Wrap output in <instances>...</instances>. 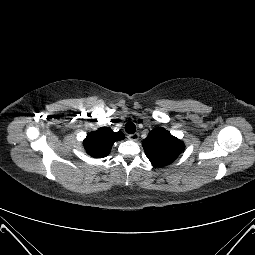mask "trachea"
Here are the masks:
<instances>
[{"instance_id": "1", "label": "trachea", "mask_w": 255, "mask_h": 255, "mask_svg": "<svg viewBox=\"0 0 255 255\" xmlns=\"http://www.w3.org/2000/svg\"><path fill=\"white\" fill-rule=\"evenodd\" d=\"M125 131L128 133V134H134L135 131H136V126L133 122H128L126 123L125 125Z\"/></svg>"}]
</instances>
